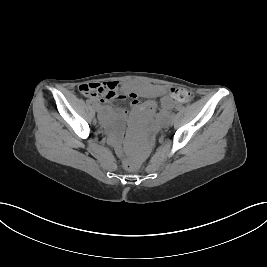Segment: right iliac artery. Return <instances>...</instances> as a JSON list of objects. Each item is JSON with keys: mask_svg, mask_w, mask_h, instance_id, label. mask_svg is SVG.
Returning <instances> with one entry per match:
<instances>
[{"mask_svg": "<svg viewBox=\"0 0 267 267\" xmlns=\"http://www.w3.org/2000/svg\"><path fill=\"white\" fill-rule=\"evenodd\" d=\"M90 101H91V100H90ZM91 103H92V106H93V107H95V106L97 105L96 103H94V102H92V101H91Z\"/></svg>", "mask_w": 267, "mask_h": 267, "instance_id": "1", "label": "right iliac artery"}]
</instances>
